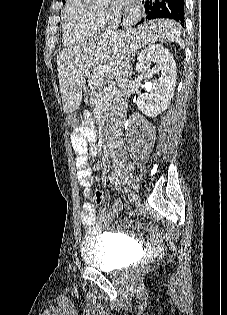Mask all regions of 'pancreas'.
Listing matches in <instances>:
<instances>
[{"mask_svg": "<svg viewBox=\"0 0 227 315\" xmlns=\"http://www.w3.org/2000/svg\"><path fill=\"white\" fill-rule=\"evenodd\" d=\"M96 79H98L97 76H92L89 85H90V91H89V97H90V104L94 106H98L102 113L105 115L104 120H108L109 118V110L111 106V100L113 96V91L105 98L99 97L98 94H100L103 90L101 85H96ZM102 84V82H101Z\"/></svg>", "mask_w": 227, "mask_h": 315, "instance_id": "cf45deb5", "label": "pancreas"}]
</instances>
